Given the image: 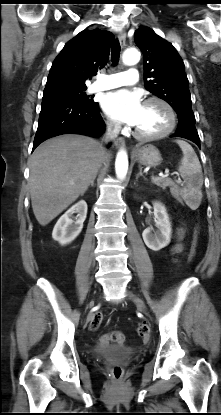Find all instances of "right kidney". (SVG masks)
Instances as JSON below:
<instances>
[{"instance_id": "1", "label": "right kidney", "mask_w": 221, "mask_h": 415, "mask_svg": "<svg viewBox=\"0 0 221 415\" xmlns=\"http://www.w3.org/2000/svg\"><path fill=\"white\" fill-rule=\"evenodd\" d=\"M74 213H77L76 221L72 220ZM86 216L87 204L83 200L79 201L59 218L52 232L53 239L61 245L72 242L80 234Z\"/></svg>"}]
</instances>
